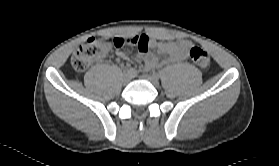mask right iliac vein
Returning a JSON list of instances; mask_svg holds the SVG:
<instances>
[{"mask_svg":"<svg viewBox=\"0 0 279 166\" xmlns=\"http://www.w3.org/2000/svg\"><path fill=\"white\" fill-rule=\"evenodd\" d=\"M132 79V76L130 74H125L124 77H123V83L124 84H128Z\"/></svg>","mask_w":279,"mask_h":166,"instance_id":"63e3f726","label":"right iliac vein"}]
</instances>
